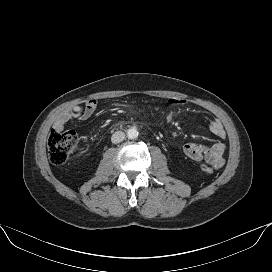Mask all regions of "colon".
<instances>
[{
    "mask_svg": "<svg viewBox=\"0 0 272 272\" xmlns=\"http://www.w3.org/2000/svg\"><path fill=\"white\" fill-rule=\"evenodd\" d=\"M78 142L74 131L51 130L48 135V153L51 162L62 165L68 161ZM200 170L205 174H212L213 168L209 165H200Z\"/></svg>",
    "mask_w": 272,
    "mask_h": 272,
    "instance_id": "colon-1",
    "label": "colon"
}]
</instances>
